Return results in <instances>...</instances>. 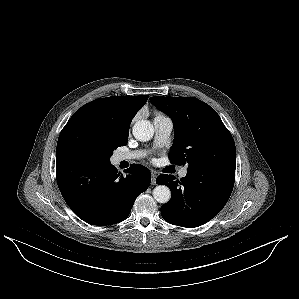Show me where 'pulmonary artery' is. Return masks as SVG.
Listing matches in <instances>:
<instances>
[{
	"instance_id": "1",
	"label": "pulmonary artery",
	"mask_w": 299,
	"mask_h": 299,
	"mask_svg": "<svg viewBox=\"0 0 299 299\" xmlns=\"http://www.w3.org/2000/svg\"><path fill=\"white\" fill-rule=\"evenodd\" d=\"M154 130H155V138L154 143L156 146H163L169 139L171 132L173 130V122L172 120L164 115L156 116L153 120ZM145 155L143 151H131L124 152L118 155L119 161H127L139 159ZM187 175V168L184 167L179 171V177L183 178Z\"/></svg>"
}]
</instances>
